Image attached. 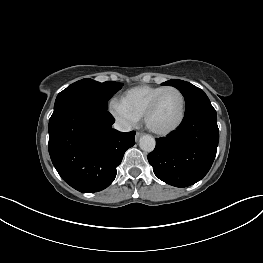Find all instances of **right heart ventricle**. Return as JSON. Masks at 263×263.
I'll return each mask as SVG.
<instances>
[{
  "mask_svg": "<svg viewBox=\"0 0 263 263\" xmlns=\"http://www.w3.org/2000/svg\"><path fill=\"white\" fill-rule=\"evenodd\" d=\"M165 86H137L129 89L121 97V103L127 110L141 118L151 100L163 89Z\"/></svg>",
  "mask_w": 263,
  "mask_h": 263,
  "instance_id": "right-heart-ventricle-1",
  "label": "right heart ventricle"
}]
</instances>
